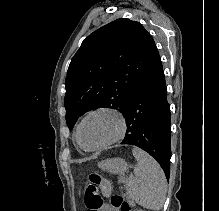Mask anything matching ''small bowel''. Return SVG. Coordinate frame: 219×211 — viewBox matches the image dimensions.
Returning <instances> with one entry per match:
<instances>
[{"label": "small bowel", "instance_id": "small-bowel-1", "mask_svg": "<svg viewBox=\"0 0 219 211\" xmlns=\"http://www.w3.org/2000/svg\"><path fill=\"white\" fill-rule=\"evenodd\" d=\"M84 200L88 211H114L104 202L100 194L93 189L86 191Z\"/></svg>", "mask_w": 219, "mask_h": 211}]
</instances>
